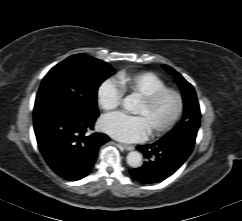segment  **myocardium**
<instances>
[{
    "instance_id": "f54148a6",
    "label": "myocardium",
    "mask_w": 242,
    "mask_h": 221,
    "mask_svg": "<svg viewBox=\"0 0 242 221\" xmlns=\"http://www.w3.org/2000/svg\"><path fill=\"white\" fill-rule=\"evenodd\" d=\"M172 96L175 100V110L172 116L162 125L153 127L150 129L151 135H161L169 132L179 121L183 109H184V100L182 94L170 87H164L162 89L156 90L148 95L142 96L140 100L147 106L152 107L158 103L165 96Z\"/></svg>"
}]
</instances>
